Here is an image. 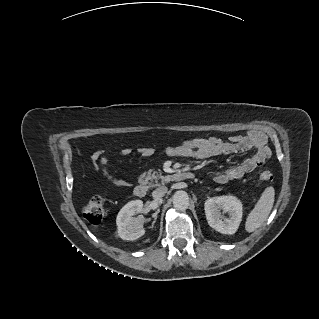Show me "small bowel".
Wrapping results in <instances>:
<instances>
[{"label": "small bowel", "mask_w": 319, "mask_h": 319, "mask_svg": "<svg viewBox=\"0 0 319 319\" xmlns=\"http://www.w3.org/2000/svg\"><path fill=\"white\" fill-rule=\"evenodd\" d=\"M266 137L261 131H252L245 136H232L228 140L217 137L193 138L177 145L168 146L165 154L169 157H192L206 159L214 156L242 153L254 150V153L237 165L231 166L215 174L214 180L224 184L242 178L252 172L256 167L264 164L266 158ZM122 156H129L132 150L128 146L120 149ZM142 158H149L154 153L152 147L142 146L138 149ZM96 172L102 174L114 185L121 188L129 186V182L115 175L109 166L108 156L104 150H97L91 156Z\"/></svg>", "instance_id": "c3829d8e"}]
</instances>
